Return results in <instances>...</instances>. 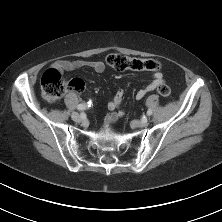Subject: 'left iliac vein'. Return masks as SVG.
Instances as JSON below:
<instances>
[{"label":"left iliac vein","instance_id":"obj_1","mask_svg":"<svg viewBox=\"0 0 222 222\" xmlns=\"http://www.w3.org/2000/svg\"><path fill=\"white\" fill-rule=\"evenodd\" d=\"M132 125L135 127H146L148 125V119L144 118L141 121H133Z\"/></svg>","mask_w":222,"mask_h":222}]
</instances>
